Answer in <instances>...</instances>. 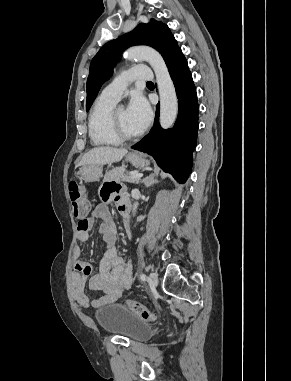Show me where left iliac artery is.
<instances>
[{
	"label": "left iliac artery",
	"instance_id": "left-iliac-artery-1",
	"mask_svg": "<svg viewBox=\"0 0 291 381\" xmlns=\"http://www.w3.org/2000/svg\"><path fill=\"white\" fill-rule=\"evenodd\" d=\"M140 279H141L142 281H145V280L147 279L146 274L142 273V274L140 275Z\"/></svg>",
	"mask_w": 291,
	"mask_h": 381
}]
</instances>
